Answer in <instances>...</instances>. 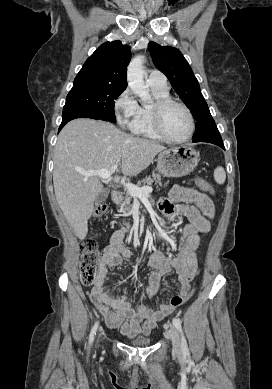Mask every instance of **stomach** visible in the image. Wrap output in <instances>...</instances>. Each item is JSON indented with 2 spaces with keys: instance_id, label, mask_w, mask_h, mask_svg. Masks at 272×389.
I'll return each mask as SVG.
<instances>
[{
  "instance_id": "1",
  "label": "stomach",
  "mask_w": 272,
  "mask_h": 389,
  "mask_svg": "<svg viewBox=\"0 0 272 389\" xmlns=\"http://www.w3.org/2000/svg\"><path fill=\"white\" fill-rule=\"evenodd\" d=\"M199 161L200 155L193 148L173 147L159 154L157 170L165 177H183L191 173Z\"/></svg>"
}]
</instances>
